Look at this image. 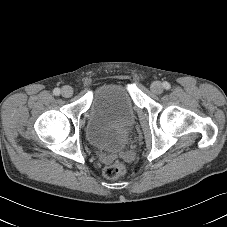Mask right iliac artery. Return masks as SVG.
Masks as SVG:
<instances>
[{
    "instance_id": "right-iliac-artery-1",
    "label": "right iliac artery",
    "mask_w": 227,
    "mask_h": 227,
    "mask_svg": "<svg viewBox=\"0 0 227 227\" xmlns=\"http://www.w3.org/2000/svg\"><path fill=\"white\" fill-rule=\"evenodd\" d=\"M53 94H54L55 96H58V95L60 94V89H59V88H55V89L53 90Z\"/></svg>"
}]
</instances>
